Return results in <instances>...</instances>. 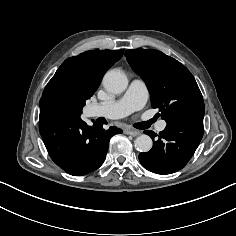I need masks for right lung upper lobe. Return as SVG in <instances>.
<instances>
[{"instance_id": "obj_1", "label": "right lung upper lobe", "mask_w": 236, "mask_h": 236, "mask_svg": "<svg viewBox=\"0 0 236 236\" xmlns=\"http://www.w3.org/2000/svg\"><path fill=\"white\" fill-rule=\"evenodd\" d=\"M123 52L124 50H92L66 59L45 87L40 108L46 106L48 92L60 85L77 88L92 96L104 73L123 56Z\"/></svg>"}]
</instances>
